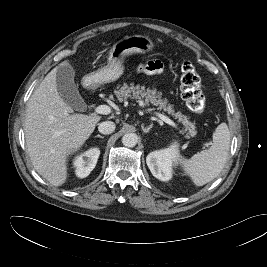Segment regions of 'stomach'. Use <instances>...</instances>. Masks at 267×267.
Listing matches in <instances>:
<instances>
[{"label":"stomach","instance_id":"0dacf381","mask_svg":"<svg viewBox=\"0 0 267 267\" xmlns=\"http://www.w3.org/2000/svg\"><path fill=\"white\" fill-rule=\"evenodd\" d=\"M154 42L142 35L126 36L116 42L109 50L107 64L85 77V83L99 86L117 80L124 72L126 56L147 53L154 49Z\"/></svg>","mask_w":267,"mask_h":267}]
</instances>
